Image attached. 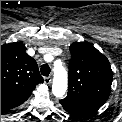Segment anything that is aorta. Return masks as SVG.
<instances>
[{"label":"aorta","instance_id":"1","mask_svg":"<svg viewBox=\"0 0 122 122\" xmlns=\"http://www.w3.org/2000/svg\"><path fill=\"white\" fill-rule=\"evenodd\" d=\"M67 71L62 65L54 67V79L52 85V92L54 96L61 98L67 90Z\"/></svg>","mask_w":122,"mask_h":122}]
</instances>
